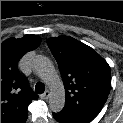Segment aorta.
I'll return each instance as SVG.
<instances>
[{
  "mask_svg": "<svg viewBox=\"0 0 123 123\" xmlns=\"http://www.w3.org/2000/svg\"><path fill=\"white\" fill-rule=\"evenodd\" d=\"M36 75L49 87V108L53 112H60L65 105V89L49 58L43 55L35 57L32 63Z\"/></svg>",
  "mask_w": 123,
  "mask_h": 123,
  "instance_id": "obj_1",
  "label": "aorta"
}]
</instances>
